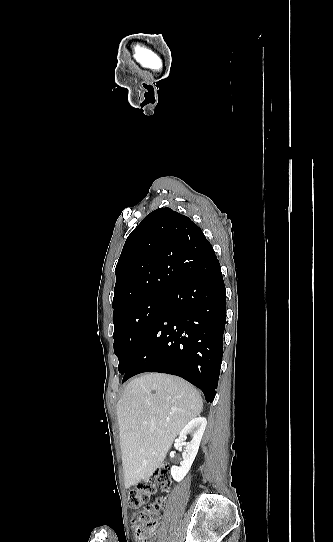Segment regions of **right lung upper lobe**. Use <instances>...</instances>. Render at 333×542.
<instances>
[{
	"label": "right lung upper lobe",
	"mask_w": 333,
	"mask_h": 542,
	"mask_svg": "<svg viewBox=\"0 0 333 542\" xmlns=\"http://www.w3.org/2000/svg\"><path fill=\"white\" fill-rule=\"evenodd\" d=\"M210 243L190 218L170 208L148 214L128 236L115 268L113 316L125 307L169 292L184 273L164 253L194 251Z\"/></svg>",
	"instance_id": "1"
}]
</instances>
